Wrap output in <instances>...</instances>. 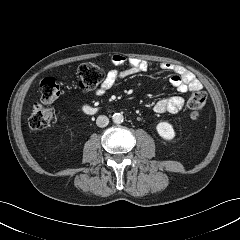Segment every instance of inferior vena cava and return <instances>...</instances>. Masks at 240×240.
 <instances>
[{
  "mask_svg": "<svg viewBox=\"0 0 240 240\" xmlns=\"http://www.w3.org/2000/svg\"><path fill=\"white\" fill-rule=\"evenodd\" d=\"M96 124L98 127H101V128L106 127L109 124V119L105 115H100L96 119Z\"/></svg>",
  "mask_w": 240,
  "mask_h": 240,
  "instance_id": "602c4592",
  "label": "inferior vena cava"
}]
</instances>
